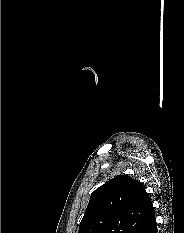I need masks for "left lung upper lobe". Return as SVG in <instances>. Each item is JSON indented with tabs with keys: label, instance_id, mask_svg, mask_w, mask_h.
Masks as SVG:
<instances>
[{
	"label": "left lung upper lobe",
	"instance_id": "left-lung-upper-lobe-1",
	"mask_svg": "<svg viewBox=\"0 0 184 233\" xmlns=\"http://www.w3.org/2000/svg\"><path fill=\"white\" fill-rule=\"evenodd\" d=\"M152 208L141 182L118 175L91 194L78 233H141Z\"/></svg>",
	"mask_w": 184,
	"mask_h": 233
}]
</instances>
